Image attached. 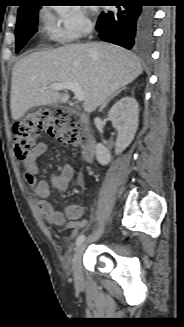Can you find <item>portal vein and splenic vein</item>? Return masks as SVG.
Masks as SVG:
<instances>
[{"label":"portal vein and splenic vein","mask_w":184,"mask_h":327,"mask_svg":"<svg viewBox=\"0 0 184 327\" xmlns=\"http://www.w3.org/2000/svg\"><path fill=\"white\" fill-rule=\"evenodd\" d=\"M49 88L52 90L68 89L74 93L77 101L81 102L84 100V92L77 83H73V82L53 83L49 86ZM45 89H46V87H42V88H40V91H44Z\"/></svg>","instance_id":"18ae733b"}]
</instances>
